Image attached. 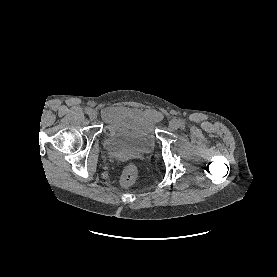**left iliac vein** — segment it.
<instances>
[{"instance_id":"4c4485c4","label":"left iliac vein","mask_w":277,"mask_h":277,"mask_svg":"<svg viewBox=\"0 0 277 277\" xmlns=\"http://www.w3.org/2000/svg\"><path fill=\"white\" fill-rule=\"evenodd\" d=\"M169 126H170V128H172V129H178V128H180L181 124H180V121H179V120H177V119H172V120L170 121V123H169Z\"/></svg>"}]
</instances>
